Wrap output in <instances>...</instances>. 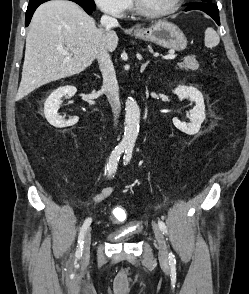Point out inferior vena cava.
Returning a JSON list of instances; mask_svg holds the SVG:
<instances>
[{"instance_id":"inferior-vena-cava-1","label":"inferior vena cava","mask_w":249,"mask_h":294,"mask_svg":"<svg viewBox=\"0 0 249 294\" xmlns=\"http://www.w3.org/2000/svg\"><path fill=\"white\" fill-rule=\"evenodd\" d=\"M101 24L104 27L105 31H111L113 27L118 26V21L113 17L103 15L101 17ZM96 58L98 60L99 68L103 76L102 90L106 94L107 99L111 105L114 115V125H117V118L119 117L121 111L119 86L116 79L114 66L111 61L107 45L105 44V40L100 46Z\"/></svg>"}]
</instances>
